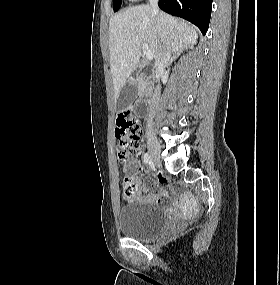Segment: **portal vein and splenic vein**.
Returning a JSON list of instances; mask_svg holds the SVG:
<instances>
[{"instance_id": "18ae733b", "label": "portal vein and splenic vein", "mask_w": 280, "mask_h": 285, "mask_svg": "<svg viewBox=\"0 0 280 285\" xmlns=\"http://www.w3.org/2000/svg\"><path fill=\"white\" fill-rule=\"evenodd\" d=\"M142 49L144 51V55H145L146 59L152 60L154 57V53L151 50H149L147 43L142 44Z\"/></svg>"}]
</instances>
